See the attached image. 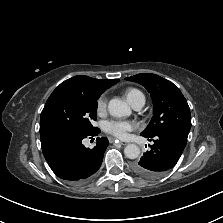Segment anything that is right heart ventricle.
I'll return each mask as SVG.
<instances>
[{
  "instance_id": "1",
  "label": "right heart ventricle",
  "mask_w": 223,
  "mask_h": 223,
  "mask_svg": "<svg viewBox=\"0 0 223 223\" xmlns=\"http://www.w3.org/2000/svg\"><path fill=\"white\" fill-rule=\"evenodd\" d=\"M125 96L127 100L131 103V105H133L140 98H145L143 93L136 88H128L125 91Z\"/></svg>"
}]
</instances>
